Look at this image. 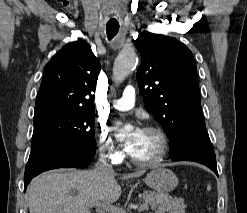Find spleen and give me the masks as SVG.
I'll return each mask as SVG.
<instances>
[{"mask_svg":"<svg viewBox=\"0 0 247 213\" xmlns=\"http://www.w3.org/2000/svg\"><path fill=\"white\" fill-rule=\"evenodd\" d=\"M207 189H208V190H211V186H210V185H208V186H207Z\"/></svg>","mask_w":247,"mask_h":213,"instance_id":"spleen-1","label":"spleen"}]
</instances>
